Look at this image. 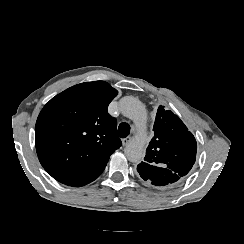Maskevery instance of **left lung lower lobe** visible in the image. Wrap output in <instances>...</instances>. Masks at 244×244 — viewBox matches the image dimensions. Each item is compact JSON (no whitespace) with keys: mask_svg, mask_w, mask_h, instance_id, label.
<instances>
[{"mask_svg":"<svg viewBox=\"0 0 244 244\" xmlns=\"http://www.w3.org/2000/svg\"><path fill=\"white\" fill-rule=\"evenodd\" d=\"M139 172V171H138ZM141 178H143L145 181H148L150 182L151 184L153 185H156V186H166V185H169V184H172V183H175L177 182L180 178H177V179H173L169 182H164L162 180H154L150 174H147V173H142V172H139Z\"/></svg>","mask_w":244,"mask_h":244,"instance_id":"1","label":"left lung lower lobe"}]
</instances>
